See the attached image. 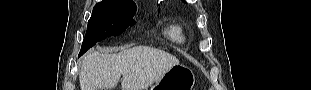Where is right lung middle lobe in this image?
<instances>
[{
    "mask_svg": "<svg viewBox=\"0 0 311 90\" xmlns=\"http://www.w3.org/2000/svg\"><path fill=\"white\" fill-rule=\"evenodd\" d=\"M135 13V4L109 1L95 5L88 21L80 55L97 42L110 36L120 35L129 26L134 25L136 23L133 19Z\"/></svg>",
    "mask_w": 311,
    "mask_h": 90,
    "instance_id": "right-lung-middle-lobe-1",
    "label": "right lung middle lobe"
}]
</instances>
